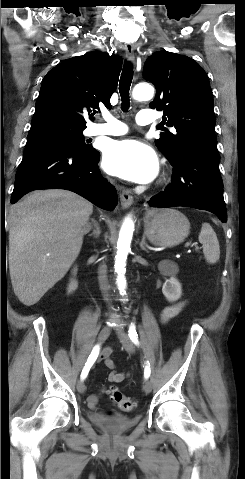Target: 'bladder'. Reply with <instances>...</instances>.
Returning a JSON list of instances; mask_svg holds the SVG:
<instances>
[{
    "label": "bladder",
    "mask_w": 245,
    "mask_h": 479,
    "mask_svg": "<svg viewBox=\"0 0 245 479\" xmlns=\"http://www.w3.org/2000/svg\"><path fill=\"white\" fill-rule=\"evenodd\" d=\"M92 422L103 431L109 434H120L127 431L134 424L137 419L123 417V418H94Z\"/></svg>",
    "instance_id": "bladder-1"
}]
</instances>
